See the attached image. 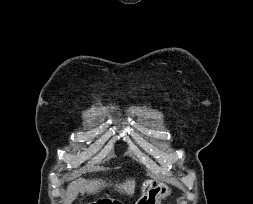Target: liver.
Returning <instances> with one entry per match:
<instances>
[{"mask_svg": "<svg viewBox=\"0 0 253 204\" xmlns=\"http://www.w3.org/2000/svg\"><path fill=\"white\" fill-rule=\"evenodd\" d=\"M106 182L101 179H91L86 180L83 178L75 179L69 183L66 191L64 204H71L78 196L79 193L96 194L99 190L106 187ZM118 188H126L130 193L134 190V182L129 183L128 187H123L121 185Z\"/></svg>", "mask_w": 253, "mask_h": 204, "instance_id": "1", "label": "liver"}]
</instances>
